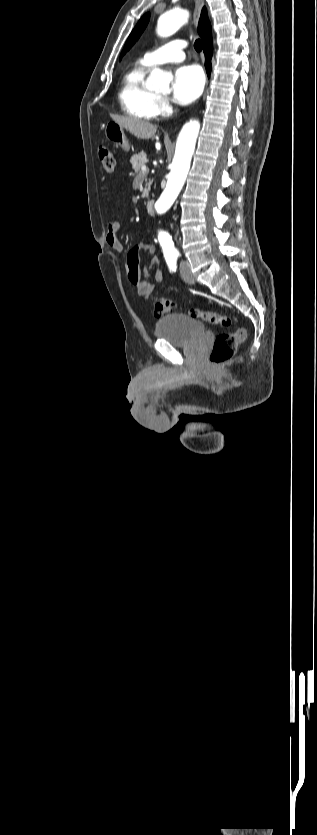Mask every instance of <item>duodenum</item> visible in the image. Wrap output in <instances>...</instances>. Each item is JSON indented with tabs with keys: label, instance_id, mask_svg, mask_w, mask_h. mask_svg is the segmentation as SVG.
I'll return each instance as SVG.
<instances>
[{
	"label": "duodenum",
	"instance_id": "410a0bca",
	"mask_svg": "<svg viewBox=\"0 0 317 835\" xmlns=\"http://www.w3.org/2000/svg\"><path fill=\"white\" fill-rule=\"evenodd\" d=\"M154 205H155V202L153 200H149L147 202L146 210H147L148 213H150V214L154 213Z\"/></svg>",
	"mask_w": 317,
	"mask_h": 835
}]
</instances>
